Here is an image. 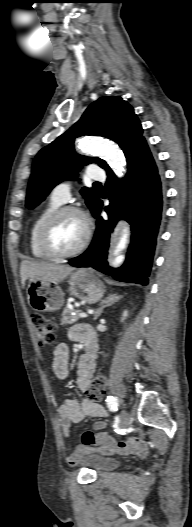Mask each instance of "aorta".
Listing matches in <instances>:
<instances>
[{
  "instance_id": "aorta-1",
  "label": "aorta",
  "mask_w": 192,
  "mask_h": 527,
  "mask_svg": "<svg viewBox=\"0 0 192 527\" xmlns=\"http://www.w3.org/2000/svg\"><path fill=\"white\" fill-rule=\"evenodd\" d=\"M81 148L87 153L102 156L118 177L123 176L125 158L122 151L115 144L100 138L88 137L82 141ZM121 261L122 258L119 262Z\"/></svg>"
}]
</instances>
